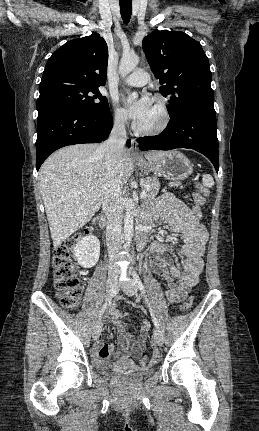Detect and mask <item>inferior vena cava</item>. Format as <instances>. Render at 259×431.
I'll return each mask as SVG.
<instances>
[{"instance_id":"obj_1","label":"inferior vena cava","mask_w":259,"mask_h":431,"mask_svg":"<svg viewBox=\"0 0 259 431\" xmlns=\"http://www.w3.org/2000/svg\"><path fill=\"white\" fill-rule=\"evenodd\" d=\"M126 118L117 117L109 138L100 145L98 151L105 154L108 172L115 177L121 164L122 152L126 144ZM121 185L115 182L107 189L103 199V210L107 217L106 245L110 258L116 256L121 245L122 204Z\"/></svg>"}]
</instances>
